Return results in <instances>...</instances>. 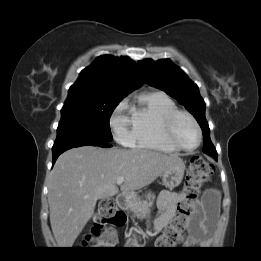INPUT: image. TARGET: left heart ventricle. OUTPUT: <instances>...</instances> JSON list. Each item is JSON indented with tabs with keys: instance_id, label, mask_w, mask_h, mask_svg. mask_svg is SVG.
Instances as JSON below:
<instances>
[{
	"instance_id": "left-heart-ventricle-1",
	"label": "left heart ventricle",
	"mask_w": 261,
	"mask_h": 261,
	"mask_svg": "<svg viewBox=\"0 0 261 261\" xmlns=\"http://www.w3.org/2000/svg\"><path fill=\"white\" fill-rule=\"evenodd\" d=\"M178 141L185 147L191 148L198 142V133L193 123L186 117H181L176 125Z\"/></svg>"
}]
</instances>
